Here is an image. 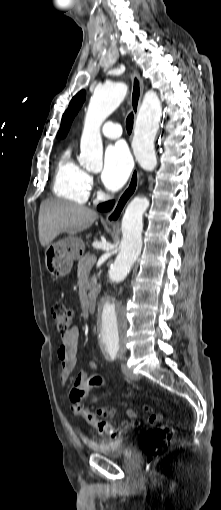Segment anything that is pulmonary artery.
Returning a JSON list of instances; mask_svg holds the SVG:
<instances>
[{
  "label": "pulmonary artery",
  "instance_id": "e3ab8cb5",
  "mask_svg": "<svg viewBox=\"0 0 221 510\" xmlns=\"http://www.w3.org/2000/svg\"><path fill=\"white\" fill-rule=\"evenodd\" d=\"M101 132L108 139H118L122 134V129L117 123L107 122L103 125Z\"/></svg>",
  "mask_w": 221,
  "mask_h": 510
}]
</instances>
